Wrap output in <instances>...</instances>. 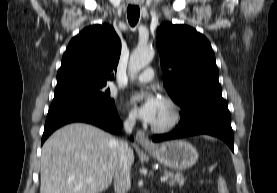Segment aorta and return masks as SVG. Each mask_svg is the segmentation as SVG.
I'll use <instances>...</instances> for the list:
<instances>
[{
    "instance_id": "762f6f07",
    "label": "aorta",
    "mask_w": 277,
    "mask_h": 193,
    "mask_svg": "<svg viewBox=\"0 0 277 193\" xmlns=\"http://www.w3.org/2000/svg\"><path fill=\"white\" fill-rule=\"evenodd\" d=\"M155 51L152 47H138L130 56L128 73L134 79L137 73L146 67L154 58Z\"/></svg>"
}]
</instances>
